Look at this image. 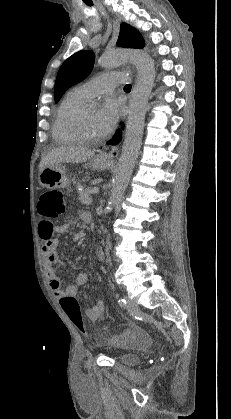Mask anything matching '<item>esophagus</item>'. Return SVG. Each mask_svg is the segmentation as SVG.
<instances>
[{"instance_id": "34e87169", "label": "esophagus", "mask_w": 231, "mask_h": 419, "mask_svg": "<svg viewBox=\"0 0 231 419\" xmlns=\"http://www.w3.org/2000/svg\"><path fill=\"white\" fill-rule=\"evenodd\" d=\"M128 70L131 74L135 73V68L132 65H128ZM119 154V147L118 146H113L108 153L104 154V157L107 159H114L118 156Z\"/></svg>"}]
</instances>
